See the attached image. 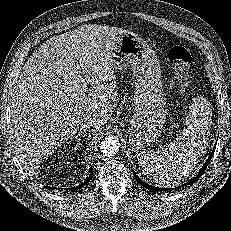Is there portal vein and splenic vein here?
Instances as JSON below:
<instances>
[{"mask_svg":"<svg viewBox=\"0 0 231 231\" xmlns=\"http://www.w3.org/2000/svg\"><path fill=\"white\" fill-rule=\"evenodd\" d=\"M87 87H88L87 83H86V82L83 83V89H84V90H87Z\"/></svg>","mask_w":231,"mask_h":231,"instance_id":"1","label":"portal vein and splenic vein"}]
</instances>
